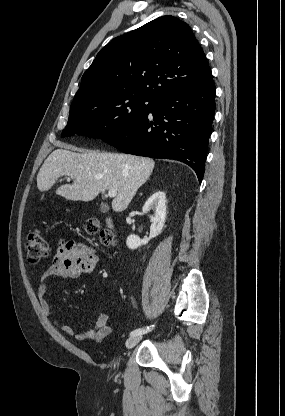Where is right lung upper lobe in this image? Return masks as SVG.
I'll use <instances>...</instances> for the list:
<instances>
[{"instance_id":"cb5924a9","label":"right lung upper lobe","mask_w":285,"mask_h":416,"mask_svg":"<svg viewBox=\"0 0 285 416\" xmlns=\"http://www.w3.org/2000/svg\"><path fill=\"white\" fill-rule=\"evenodd\" d=\"M211 78L189 25L163 16L114 38L97 54L82 76L70 111L122 97L159 103Z\"/></svg>"}]
</instances>
